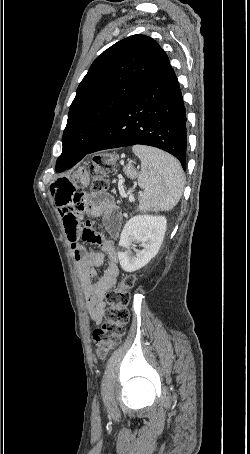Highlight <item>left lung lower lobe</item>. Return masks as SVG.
Listing matches in <instances>:
<instances>
[{
	"label": "left lung lower lobe",
	"mask_w": 250,
	"mask_h": 454,
	"mask_svg": "<svg viewBox=\"0 0 250 454\" xmlns=\"http://www.w3.org/2000/svg\"><path fill=\"white\" fill-rule=\"evenodd\" d=\"M136 144L169 152L186 169V112L169 62L111 118L85 155ZM85 155L61 154L56 171L73 167Z\"/></svg>",
	"instance_id": "left-lung-lower-lobe-1"
}]
</instances>
